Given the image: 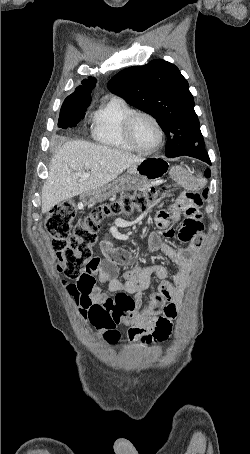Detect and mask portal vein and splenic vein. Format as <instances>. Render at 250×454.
<instances>
[{"instance_id":"18ae733b","label":"portal vein and splenic vein","mask_w":250,"mask_h":454,"mask_svg":"<svg viewBox=\"0 0 250 454\" xmlns=\"http://www.w3.org/2000/svg\"><path fill=\"white\" fill-rule=\"evenodd\" d=\"M89 176H90L89 173H82V174H79V177H80L81 180H86V179L89 178Z\"/></svg>"}]
</instances>
